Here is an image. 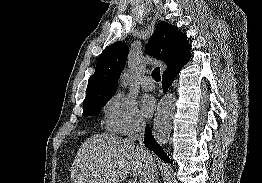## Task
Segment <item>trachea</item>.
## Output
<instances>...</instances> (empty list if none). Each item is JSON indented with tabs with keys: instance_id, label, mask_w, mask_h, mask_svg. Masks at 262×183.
I'll return each instance as SVG.
<instances>
[{
	"instance_id": "1",
	"label": "trachea",
	"mask_w": 262,
	"mask_h": 183,
	"mask_svg": "<svg viewBox=\"0 0 262 183\" xmlns=\"http://www.w3.org/2000/svg\"><path fill=\"white\" fill-rule=\"evenodd\" d=\"M152 78L157 82L161 80L159 67L154 68V70L152 71Z\"/></svg>"
}]
</instances>
